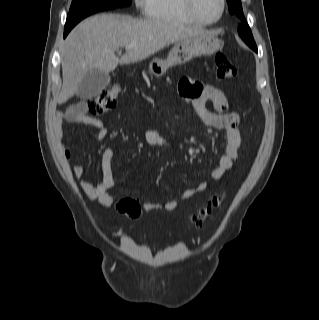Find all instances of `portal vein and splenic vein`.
<instances>
[{"label": "portal vein and splenic vein", "mask_w": 319, "mask_h": 320, "mask_svg": "<svg viewBox=\"0 0 319 320\" xmlns=\"http://www.w3.org/2000/svg\"><path fill=\"white\" fill-rule=\"evenodd\" d=\"M125 48H126V50H127V49H131V48H133V45H128V46H126Z\"/></svg>", "instance_id": "18ae733b"}]
</instances>
